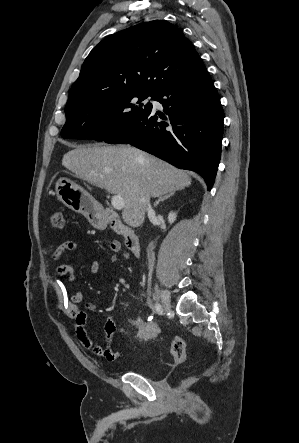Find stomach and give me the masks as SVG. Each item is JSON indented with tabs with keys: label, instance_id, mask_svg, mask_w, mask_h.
I'll return each mask as SVG.
<instances>
[{
	"label": "stomach",
	"instance_id": "stomach-1",
	"mask_svg": "<svg viewBox=\"0 0 299 443\" xmlns=\"http://www.w3.org/2000/svg\"><path fill=\"white\" fill-rule=\"evenodd\" d=\"M57 198L68 208L83 214L96 228H105L107 220L98 209L95 199L82 187L68 178H60L55 184Z\"/></svg>",
	"mask_w": 299,
	"mask_h": 443
}]
</instances>
